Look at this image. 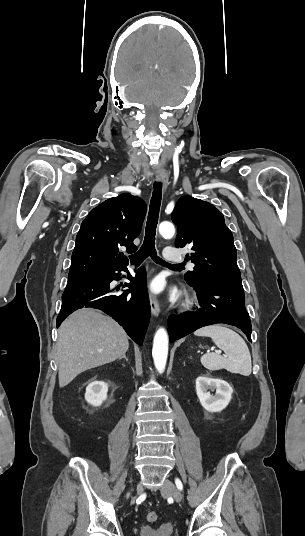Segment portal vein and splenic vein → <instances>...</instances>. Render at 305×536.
I'll return each mask as SVG.
<instances>
[{
  "mask_svg": "<svg viewBox=\"0 0 305 536\" xmlns=\"http://www.w3.org/2000/svg\"><path fill=\"white\" fill-rule=\"evenodd\" d=\"M217 354H221V350H217Z\"/></svg>",
  "mask_w": 305,
  "mask_h": 536,
  "instance_id": "obj_1",
  "label": "portal vein and splenic vein"
}]
</instances>
